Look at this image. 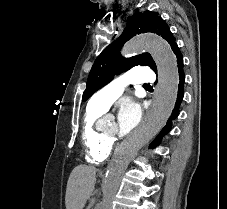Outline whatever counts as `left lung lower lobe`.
<instances>
[{"label":"left lung lower lobe","instance_id":"1","mask_svg":"<svg viewBox=\"0 0 227 209\" xmlns=\"http://www.w3.org/2000/svg\"><path fill=\"white\" fill-rule=\"evenodd\" d=\"M174 53L176 55L177 58V64H178V72H179V85H178V94H177V100L175 103V107L172 111L171 116L169 117L166 126L161 130V132L157 135V137L153 140V142L150 144V147H156L160 141L162 140V138L169 132L170 127L172 126V120L175 119L178 116V112H179V106L180 103L183 99V95H184V91H183V85H184V80H185V74L183 71V57L182 54L179 50L178 47H176L174 49Z\"/></svg>","mask_w":227,"mask_h":209}]
</instances>
